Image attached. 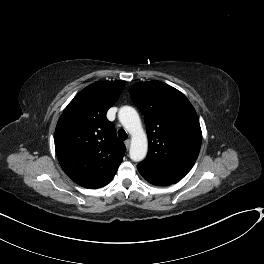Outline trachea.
<instances>
[{
	"label": "trachea",
	"instance_id": "trachea-1",
	"mask_svg": "<svg viewBox=\"0 0 264 264\" xmlns=\"http://www.w3.org/2000/svg\"><path fill=\"white\" fill-rule=\"evenodd\" d=\"M118 137L121 140H126L128 138V134L126 133V131L124 129H119L118 130Z\"/></svg>",
	"mask_w": 264,
	"mask_h": 264
}]
</instances>
